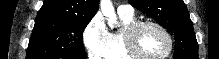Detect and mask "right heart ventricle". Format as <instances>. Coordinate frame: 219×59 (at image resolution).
Here are the masks:
<instances>
[{
    "mask_svg": "<svg viewBox=\"0 0 219 59\" xmlns=\"http://www.w3.org/2000/svg\"><path fill=\"white\" fill-rule=\"evenodd\" d=\"M122 27L119 30L110 32L108 46L103 54V59H134L125 48V28L137 21L134 14L119 13Z\"/></svg>",
    "mask_w": 219,
    "mask_h": 59,
    "instance_id": "e07e8e85",
    "label": "right heart ventricle"
}]
</instances>
